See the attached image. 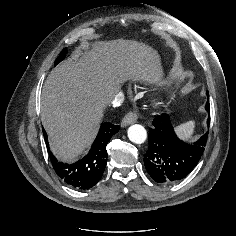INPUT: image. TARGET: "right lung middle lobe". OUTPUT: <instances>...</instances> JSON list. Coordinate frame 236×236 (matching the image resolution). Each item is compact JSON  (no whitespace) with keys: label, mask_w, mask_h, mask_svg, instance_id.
Masks as SVG:
<instances>
[{"label":"right lung middle lobe","mask_w":236,"mask_h":236,"mask_svg":"<svg viewBox=\"0 0 236 236\" xmlns=\"http://www.w3.org/2000/svg\"><path fill=\"white\" fill-rule=\"evenodd\" d=\"M66 54V49H63L62 52L60 53V55L58 56V58L55 61V65H57L59 62H61Z\"/></svg>","instance_id":"dd1d6c3e"}]
</instances>
